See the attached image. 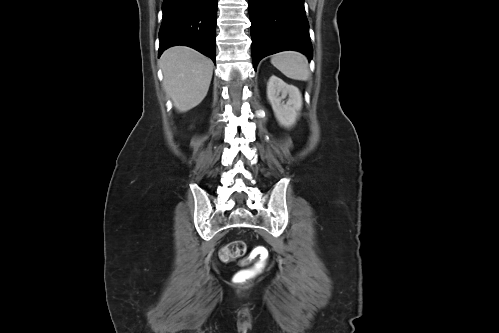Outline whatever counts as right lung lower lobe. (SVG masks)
<instances>
[{
	"label": "right lung lower lobe",
	"mask_w": 499,
	"mask_h": 333,
	"mask_svg": "<svg viewBox=\"0 0 499 333\" xmlns=\"http://www.w3.org/2000/svg\"><path fill=\"white\" fill-rule=\"evenodd\" d=\"M159 56L171 46L185 45L215 63L217 0H164Z\"/></svg>",
	"instance_id": "1"
}]
</instances>
